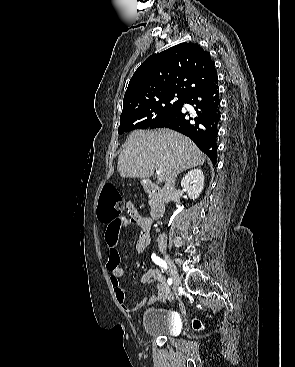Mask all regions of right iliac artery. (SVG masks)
Listing matches in <instances>:
<instances>
[{"label": "right iliac artery", "instance_id": "82829eb1", "mask_svg": "<svg viewBox=\"0 0 295 367\" xmlns=\"http://www.w3.org/2000/svg\"><path fill=\"white\" fill-rule=\"evenodd\" d=\"M151 258H152L153 262L156 263L157 265H159L160 267H163L164 269H167L168 268L167 267V263L163 259H161L160 257H158L156 254L153 253L152 256H151ZM167 283L169 285H171L172 284V279L171 278H168Z\"/></svg>", "mask_w": 295, "mask_h": 367}]
</instances>
